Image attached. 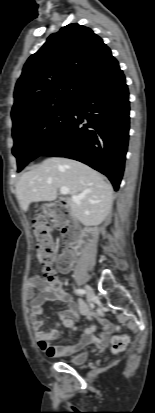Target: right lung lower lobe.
I'll use <instances>...</instances> for the list:
<instances>
[{"label":"right lung lower lobe","mask_w":155,"mask_h":413,"mask_svg":"<svg viewBox=\"0 0 155 413\" xmlns=\"http://www.w3.org/2000/svg\"><path fill=\"white\" fill-rule=\"evenodd\" d=\"M129 92L118 67L74 102L59 138L40 156L81 161L106 175L117 191L129 139Z\"/></svg>","instance_id":"obj_1"}]
</instances>
